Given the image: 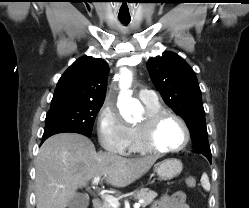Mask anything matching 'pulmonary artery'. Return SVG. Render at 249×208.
Wrapping results in <instances>:
<instances>
[{"label": "pulmonary artery", "mask_w": 249, "mask_h": 208, "mask_svg": "<svg viewBox=\"0 0 249 208\" xmlns=\"http://www.w3.org/2000/svg\"><path fill=\"white\" fill-rule=\"evenodd\" d=\"M139 99L145 104V105H157L158 99L156 94L147 89H142L139 91L138 94Z\"/></svg>", "instance_id": "e3ab8cb5"}]
</instances>
